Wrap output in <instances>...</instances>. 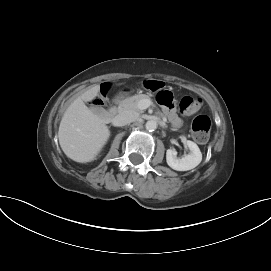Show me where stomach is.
Masks as SVG:
<instances>
[{"label": "stomach", "instance_id": "obj_1", "mask_svg": "<svg viewBox=\"0 0 271 271\" xmlns=\"http://www.w3.org/2000/svg\"><path fill=\"white\" fill-rule=\"evenodd\" d=\"M128 93H129V91H128L127 89H123V90H121V91L119 92L117 98L119 99V98H121L123 95H126V94H128Z\"/></svg>", "mask_w": 271, "mask_h": 271}]
</instances>
